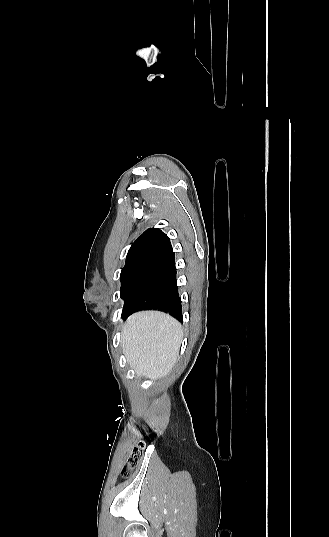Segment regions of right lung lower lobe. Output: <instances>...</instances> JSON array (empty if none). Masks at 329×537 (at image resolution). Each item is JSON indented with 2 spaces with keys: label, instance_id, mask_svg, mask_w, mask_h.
Segmentation results:
<instances>
[{
  "label": "right lung lower lobe",
  "instance_id": "right-lung-lower-lobe-1",
  "mask_svg": "<svg viewBox=\"0 0 329 537\" xmlns=\"http://www.w3.org/2000/svg\"><path fill=\"white\" fill-rule=\"evenodd\" d=\"M124 301V319L142 309H159L181 321L174 252L148 264L132 283Z\"/></svg>",
  "mask_w": 329,
  "mask_h": 537
}]
</instances>
